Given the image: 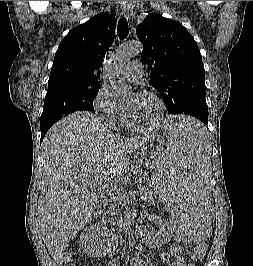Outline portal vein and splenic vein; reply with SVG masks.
Here are the masks:
<instances>
[{"mask_svg": "<svg viewBox=\"0 0 253 266\" xmlns=\"http://www.w3.org/2000/svg\"><path fill=\"white\" fill-rule=\"evenodd\" d=\"M91 183L92 184H98L100 187L102 186L103 188H109V185L105 182V181H102V179H99V178H95V179H93L92 181H91ZM118 189H110V190H108L110 193H112V192H115V191H117ZM118 193V192H117ZM140 193H142L141 192V190H140Z\"/></svg>", "mask_w": 253, "mask_h": 266, "instance_id": "portal-vein-and-splenic-vein-1", "label": "portal vein and splenic vein"}]
</instances>
